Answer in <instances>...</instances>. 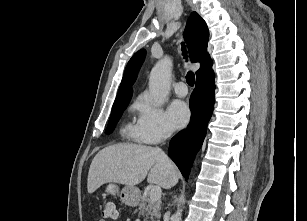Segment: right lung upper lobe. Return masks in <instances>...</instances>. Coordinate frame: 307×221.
Instances as JSON below:
<instances>
[{
  "label": "right lung upper lobe",
  "mask_w": 307,
  "mask_h": 221,
  "mask_svg": "<svg viewBox=\"0 0 307 221\" xmlns=\"http://www.w3.org/2000/svg\"><path fill=\"white\" fill-rule=\"evenodd\" d=\"M184 37L188 44L192 62H201V67L196 72V80L213 79L212 61L207 53L208 27L196 12H192L187 21ZM145 55L146 51L142 49L135 53L128 62L114 103L131 99L133 93L132 85L137 78Z\"/></svg>",
  "instance_id": "1"
}]
</instances>
